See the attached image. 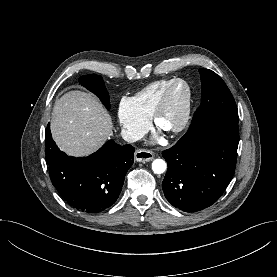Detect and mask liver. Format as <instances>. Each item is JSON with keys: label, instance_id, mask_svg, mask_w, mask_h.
<instances>
[{"label": "liver", "instance_id": "1", "mask_svg": "<svg viewBox=\"0 0 277 277\" xmlns=\"http://www.w3.org/2000/svg\"><path fill=\"white\" fill-rule=\"evenodd\" d=\"M111 116L90 93L70 91L55 102L51 133L58 147L73 156H88L113 134Z\"/></svg>", "mask_w": 277, "mask_h": 277}]
</instances>
